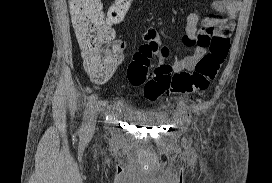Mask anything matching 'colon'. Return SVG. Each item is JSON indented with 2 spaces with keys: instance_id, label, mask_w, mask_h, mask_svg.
I'll list each match as a JSON object with an SVG mask.
<instances>
[{
  "instance_id": "5ec220e1",
  "label": "colon",
  "mask_w": 272,
  "mask_h": 183,
  "mask_svg": "<svg viewBox=\"0 0 272 183\" xmlns=\"http://www.w3.org/2000/svg\"><path fill=\"white\" fill-rule=\"evenodd\" d=\"M132 0H114L107 12L101 0H70L72 25L87 72L93 79L102 80L117 67L120 57L115 47L112 25L122 23ZM209 51L193 71L175 73L170 65L150 71V61L159 51L167 52L160 43H144L128 66L131 85L143 86L145 98L154 101L167 94H189L205 91L217 76L227 58L230 41L227 34L214 35L208 41Z\"/></svg>"
}]
</instances>
